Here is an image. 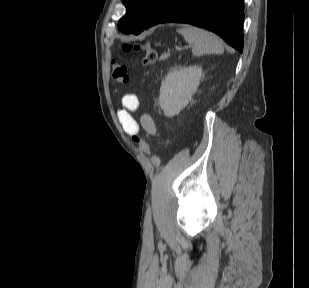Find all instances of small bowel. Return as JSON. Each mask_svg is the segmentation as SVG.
<instances>
[{
  "instance_id": "obj_1",
  "label": "small bowel",
  "mask_w": 309,
  "mask_h": 288,
  "mask_svg": "<svg viewBox=\"0 0 309 288\" xmlns=\"http://www.w3.org/2000/svg\"><path fill=\"white\" fill-rule=\"evenodd\" d=\"M121 105V108L118 110V116L126 134L129 136L137 134L140 130V126L149 134L156 133L155 123L149 115L141 116L140 122L136 121L131 116V112L136 111L139 106V99L136 95H124Z\"/></svg>"
}]
</instances>
